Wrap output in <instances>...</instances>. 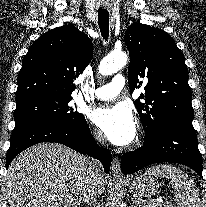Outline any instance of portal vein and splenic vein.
Listing matches in <instances>:
<instances>
[{"label": "portal vein and splenic vein", "mask_w": 206, "mask_h": 207, "mask_svg": "<svg viewBox=\"0 0 206 207\" xmlns=\"http://www.w3.org/2000/svg\"><path fill=\"white\" fill-rule=\"evenodd\" d=\"M140 202H141L140 200H136V203H137L138 205H140Z\"/></svg>", "instance_id": "portal-vein-and-splenic-vein-1"}]
</instances>
